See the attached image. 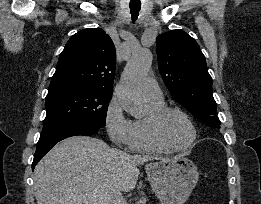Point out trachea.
<instances>
[{
    "label": "trachea",
    "mask_w": 261,
    "mask_h": 204,
    "mask_svg": "<svg viewBox=\"0 0 261 204\" xmlns=\"http://www.w3.org/2000/svg\"><path fill=\"white\" fill-rule=\"evenodd\" d=\"M140 9H141V5H130V13L133 22L137 20Z\"/></svg>",
    "instance_id": "obj_1"
}]
</instances>
